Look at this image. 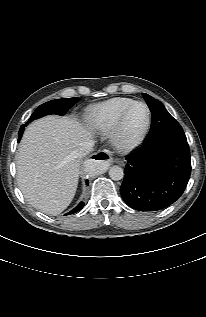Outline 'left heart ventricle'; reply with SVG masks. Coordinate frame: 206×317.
Returning <instances> with one entry per match:
<instances>
[{
    "mask_svg": "<svg viewBox=\"0 0 206 317\" xmlns=\"http://www.w3.org/2000/svg\"><path fill=\"white\" fill-rule=\"evenodd\" d=\"M147 111L145 106L136 105L127 116L125 134L130 137L134 135L145 123Z\"/></svg>",
    "mask_w": 206,
    "mask_h": 317,
    "instance_id": "1",
    "label": "left heart ventricle"
}]
</instances>
